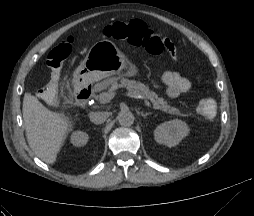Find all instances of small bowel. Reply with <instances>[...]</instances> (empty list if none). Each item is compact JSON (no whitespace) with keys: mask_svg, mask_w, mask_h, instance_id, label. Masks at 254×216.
<instances>
[{"mask_svg":"<svg viewBox=\"0 0 254 216\" xmlns=\"http://www.w3.org/2000/svg\"><path fill=\"white\" fill-rule=\"evenodd\" d=\"M161 43L166 48L172 62L177 63L180 60V55L169 37L164 36ZM162 81L165 85V94L169 98H176L181 93L187 91L191 83L188 78L182 76L178 72L167 71L162 75Z\"/></svg>","mask_w":254,"mask_h":216,"instance_id":"obj_1","label":"small bowel"}]
</instances>
